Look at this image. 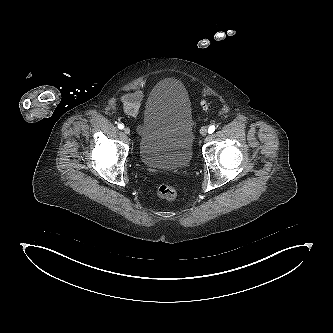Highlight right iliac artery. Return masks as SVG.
Returning <instances> with one entry per match:
<instances>
[{
  "label": "right iliac artery",
  "instance_id": "right-iliac-artery-1",
  "mask_svg": "<svg viewBox=\"0 0 333 333\" xmlns=\"http://www.w3.org/2000/svg\"><path fill=\"white\" fill-rule=\"evenodd\" d=\"M118 128L122 130L124 128V124L122 123L118 124Z\"/></svg>",
  "mask_w": 333,
  "mask_h": 333
}]
</instances>
